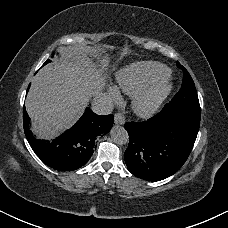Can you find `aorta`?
I'll list each match as a JSON object with an SVG mask.
<instances>
[{"label":"aorta","instance_id":"aorta-1","mask_svg":"<svg viewBox=\"0 0 228 228\" xmlns=\"http://www.w3.org/2000/svg\"><path fill=\"white\" fill-rule=\"evenodd\" d=\"M110 136L114 143L123 145L129 141L128 132L122 126H114L110 132Z\"/></svg>","mask_w":228,"mask_h":228}]
</instances>
